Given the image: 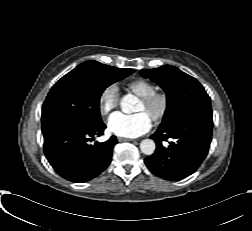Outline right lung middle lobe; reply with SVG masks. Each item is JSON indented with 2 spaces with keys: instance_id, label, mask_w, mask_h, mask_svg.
<instances>
[{
  "instance_id": "dd1d6c3e",
  "label": "right lung middle lobe",
  "mask_w": 252,
  "mask_h": 231,
  "mask_svg": "<svg viewBox=\"0 0 252 231\" xmlns=\"http://www.w3.org/2000/svg\"><path fill=\"white\" fill-rule=\"evenodd\" d=\"M133 72V69L116 68L93 60L78 65L50 90L42 108L43 135L65 125L89 128L101 123V94Z\"/></svg>"
}]
</instances>
